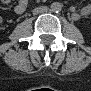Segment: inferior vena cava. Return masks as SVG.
I'll list each match as a JSON object with an SVG mask.
<instances>
[{
    "mask_svg": "<svg viewBox=\"0 0 91 91\" xmlns=\"http://www.w3.org/2000/svg\"><path fill=\"white\" fill-rule=\"evenodd\" d=\"M47 11H48V7L42 6V7L35 8L33 13L39 14V13H44V12H47Z\"/></svg>",
    "mask_w": 91,
    "mask_h": 91,
    "instance_id": "inferior-vena-cava-1",
    "label": "inferior vena cava"
}]
</instances>
